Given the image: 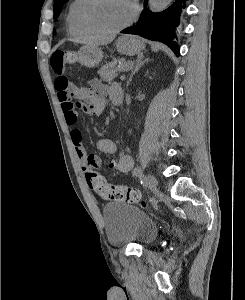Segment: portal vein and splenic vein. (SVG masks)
I'll return each instance as SVG.
<instances>
[{
  "mask_svg": "<svg viewBox=\"0 0 245 300\" xmlns=\"http://www.w3.org/2000/svg\"><path fill=\"white\" fill-rule=\"evenodd\" d=\"M132 65H133V62L125 64L124 66L120 67L119 71H127L130 68V66H132Z\"/></svg>",
  "mask_w": 245,
  "mask_h": 300,
  "instance_id": "portal-vein-and-splenic-vein-1",
  "label": "portal vein and splenic vein"
}]
</instances>
